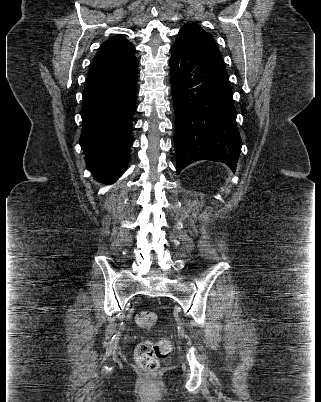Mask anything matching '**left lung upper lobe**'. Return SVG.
Returning a JSON list of instances; mask_svg holds the SVG:
<instances>
[{"instance_id":"5c2ea615","label":"left lung upper lobe","mask_w":321,"mask_h":402,"mask_svg":"<svg viewBox=\"0 0 321 402\" xmlns=\"http://www.w3.org/2000/svg\"><path fill=\"white\" fill-rule=\"evenodd\" d=\"M175 43L221 57L212 36L196 23L185 24L180 29Z\"/></svg>"}]
</instances>
